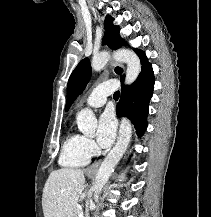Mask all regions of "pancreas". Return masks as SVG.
I'll return each mask as SVG.
<instances>
[{"label":"pancreas","mask_w":211,"mask_h":217,"mask_svg":"<svg viewBox=\"0 0 211 217\" xmlns=\"http://www.w3.org/2000/svg\"><path fill=\"white\" fill-rule=\"evenodd\" d=\"M79 213H80V209L79 208H75L73 211V214L71 217H79Z\"/></svg>","instance_id":"obj_1"}]
</instances>
